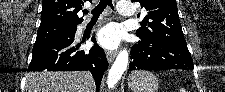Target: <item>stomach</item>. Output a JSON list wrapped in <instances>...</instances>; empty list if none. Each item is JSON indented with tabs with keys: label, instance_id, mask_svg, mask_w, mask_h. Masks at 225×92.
<instances>
[{
	"label": "stomach",
	"instance_id": "stomach-1",
	"mask_svg": "<svg viewBox=\"0 0 225 92\" xmlns=\"http://www.w3.org/2000/svg\"><path fill=\"white\" fill-rule=\"evenodd\" d=\"M128 86L133 92H157L158 80L149 71H133L129 75Z\"/></svg>",
	"mask_w": 225,
	"mask_h": 92
}]
</instances>
